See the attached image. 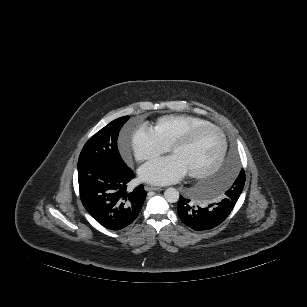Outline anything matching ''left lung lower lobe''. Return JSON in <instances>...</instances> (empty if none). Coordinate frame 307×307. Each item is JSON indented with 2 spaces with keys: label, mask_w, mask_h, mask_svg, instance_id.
Listing matches in <instances>:
<instances>
[{
  "label": "left lung lower lobe",
  "mask_w": 307,
  "mask_h": 307,
  "mask_svg": "<svg viewBox=\"0 0 307 307\" xmlns=\"http://www.w3.org/2000/svg\"><path fill=\"white\" fill-rule=\"evenodd\" d=\"M238 198L227 195L208 206H194L190 199L180 195L177 212L180 219L196 231L212 229L221 224L233 210Z\"/></svg>",
  "instance_id": "0a47b994"
}]
</instances>
